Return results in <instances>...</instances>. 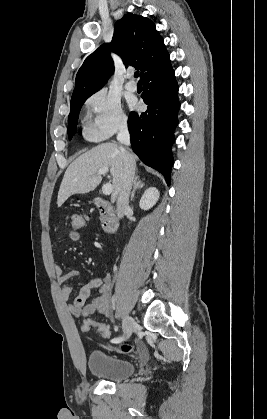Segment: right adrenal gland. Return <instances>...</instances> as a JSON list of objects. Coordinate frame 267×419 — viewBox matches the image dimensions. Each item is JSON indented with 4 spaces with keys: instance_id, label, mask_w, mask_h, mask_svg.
Returning a JSON list of instances; mask_svg holds the SVG:
<instances>
[{
    "instance_id": "1",
    "label": "right adrenal gland",
    "mask_w": 267,
    "mask_h": 419,
    "mask_svg": "<svg viewBox=\"0 0 267 419\" xmlns=\"http://www.w3.org/2000/svg\"><path fill=\"white\" fill-rule=\"evenodd\" d=\"M143 186H144V183L142 182V180H140V176H136L135 180H134V183H133V190L131 192V197H130L131 201L134 198L136 190L143 188Z\"/></svg>"
}]
</instances>
